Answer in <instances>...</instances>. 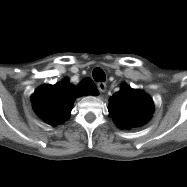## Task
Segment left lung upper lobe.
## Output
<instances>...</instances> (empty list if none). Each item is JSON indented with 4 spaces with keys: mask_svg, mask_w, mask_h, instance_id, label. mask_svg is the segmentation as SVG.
Here are the masks:
<instances>
[{
    "mask_svg": "<svg viewBox=\"0 0 187 187\" xmlns=\"http://www.w3.org/2000/svg\"><path fill=\"white\" fill-rule=\"evenodd\" d=\"M154 111L151 97L141 90L122 85L109 103V112L119 128L130 129L146 123Z\"/></svg>",
    "mask_w": 187,
    "mask_h": 187,
    "instance_id": "obj_1",
    "label": "left lung upper lobe"
}]
</instances>
